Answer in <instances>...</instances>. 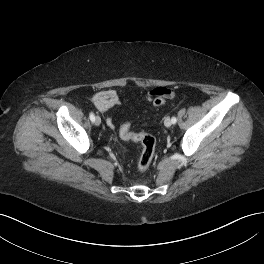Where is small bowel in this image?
<instances>
[{
    "label": "small bowel",
    "instance_id": "small-bowel-1",
    "mask_svg": "<svg viewBox=\"0 0 264 264\" xmlns=\"http://www.w3.org/2000/svg\"><path fill=\"white\" fill-rule=\"evenodd\" d=\"M174 96L175 90L169 87H156L146 93L147 100L152 102L156 98L170 99ZM91 101L98 111L106 112L121 104V94L114 89L103 90L96 92L91 97ZM107 125L110 128H115V124L111 118L107 119Z\"/></svg>",
    "mask_w": 264,
    "mask_h": 264
}]
</instances>
